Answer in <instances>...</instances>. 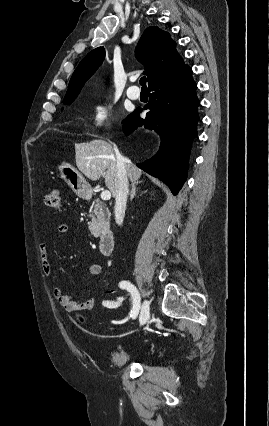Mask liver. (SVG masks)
<instances>
[{
	"label": "liver",
	"instance_id": "6515ba94",
	"mask_svg": "<svg viewBox=\"0 0 269 426\" xmlns=\"http://www.w3.org/2000/svg\"><path fill=\"white\" fill-rule=\"evenodd\" d=\"M127 173L133 184L138 183L142 171L127 158ZM75 161L78 169L90 180L96 181L102 175L105 184L115 197L117 190V162L114 148L104 140L97 139L75 145Z\"/></svg>",
	"mask_w": 269,
	"mask_h": 426
}]
</instances>
